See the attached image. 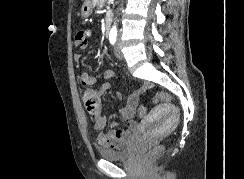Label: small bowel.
Listing matches in <instances>:
<instances>
[{"instance_id":"obj_1","label":"small bowel","mask_w":244,"mask_h":179,"mask_svg":"<svg viewBox=\"0 0 244 179\" xmlns=\"http://www.w3.org/2000/svg\"><path fill=\"white\" fill-rule=\"evenodd\" d=\"M93 37V32L90 29H83L76 35L75 46L81 50L87 48L89 41ZM81 59V54L75 55V60L78 62ZM115 77V73L112 71H106L103 75L104 79H111ZM80 80L82 84L86 86H95L98 83L96 77L89 72H82L80 74ZM111 87L109 82H104L101 89L98 91V96L101 97ZM138 106V94L136 91H132L126 100V105L120 110L121 118L126 122L124 129H113L109 132H100L97 136V142L100 145L108 147H120L124 144L127 136L136 128L137 121L134 119L133 110H137ZM138 110H145V108H139ZM142 116V115H139ZM106 125V117L102 114H95L94 116V128L96 130H102ZM115 123H113V126Z\"/></svg>"}]
</instances>
